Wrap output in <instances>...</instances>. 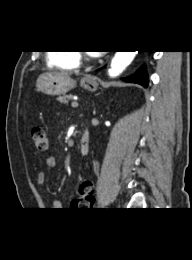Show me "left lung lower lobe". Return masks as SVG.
<instances>
[{
    "instance_id": "1",
    "label": "left lung lower lobe",
    "mask_w": 192,
    "mask_h": 260,
    "mask_svg": "<svg viewBox=\"0 0 192 260\" xmlns=\"http://www.w3.org/2000/svg\"><path fill=\"white\" fill-rule=\"evenodd\" d=\"M125 81L141 84L144 87L148 86V76L145 66H142L134 75L124 78Z\"/></svg>"
}]
</instances>
